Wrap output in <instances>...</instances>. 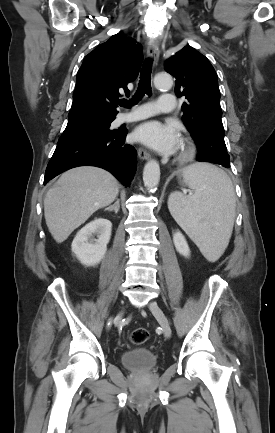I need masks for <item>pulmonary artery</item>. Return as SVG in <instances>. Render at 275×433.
<instances>
[{
	"instance_id": "obj_1",
	"label": "pulmonary artery",
	"mask_w": 275,
	"mask_h": 433,
	"mask_svg": "<svg viewBox=\"0 0 275 433\" xmlns=\"http://www.w3.org/2000/svg\"><path fill=\"white\" fill-rule=\"evenodd\" d=\"M175 108L173 94L164 93L156 102H146L129 113H123L119 117L121 123L136 121L150 117L156 113H171Z\"/></svg>"
}]
</instances>
